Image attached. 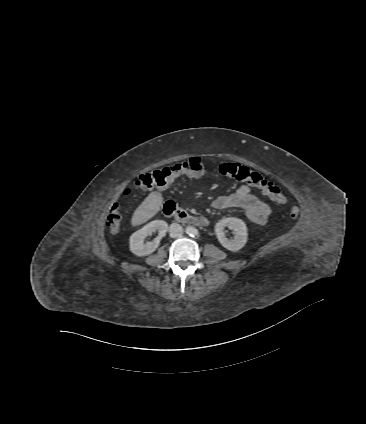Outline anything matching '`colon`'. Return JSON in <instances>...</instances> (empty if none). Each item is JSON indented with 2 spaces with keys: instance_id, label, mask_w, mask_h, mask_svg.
<instances>
[{
  "instance_id": "obj_1",
  "label": "colon",
  "mask_w": 366,
  "mask_h": 424,
  "mask_svg": "<svg viewBox=\"0 0 366 424\" xmlns=\"http://www.w3.org/2000/svg\"><path fill=\"white\" fill-rule=\"evenodd\" d=\"M219 172L225 177L245 182L258 188L265 196L277 204H284L286 202L284 193L275 183L267 180L260 173L245 165L235 162L223 163L219 167ZM205 173L206 166L203 160L199 157H191L184 162L146 172L137 178L135 185L143 189L164 187L180 176L201 177ZM288 214L291 219L296 218L299 214V208L294 205L290 206ZM120 222V206L116 204L112 207L106 224L110 231L116 232L119 230Z\"/></svg>"
}]
</instances>
